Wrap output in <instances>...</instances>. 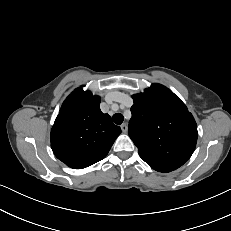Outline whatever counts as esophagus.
Wrapping results in <instances>:
<instances>
[{
  "mask_svg": "<svg viewBox=\"0 0 231 231\" xmlns=\"http://www.w3.org/2000/svg\"><path fill=\"white\" fill-rule=\"evenodd\" d=\"M121 130H122L123 133H126V132H127L128 127H127V124H126V123H123V124L121 125Z\"/></svg>",
  "mask_w": 231,
  "mask_h": 231,
  "instance_id": "esophagus-1",
  "label": "esophagus"
}]
</instances>
